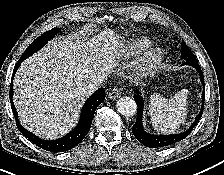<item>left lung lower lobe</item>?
I'll use <instances>...</instances> for the list:
<instances>
[{
  "instance_id": "obj_1",
  "label": "left lung lower lobe",
  "mask_w": 224,
  "mask_h": 175,
  "mask_svg": "<svg viewBox=\"0 0 224 175\" xmlns=\"http://www.w3.org/2000/svg\"><path fill=\"white\" fill-rule=\"evenodd\" d=\"M185 64L194 67L199 72L200 79H201V82L204 87V77H203V73L201 71L199 64L198 63H188V62H185L184 65ZM134 92H135L134 100L137 103L138 112H137L136 122L132 127V133L139 142H141L144 146H147L150 148L169 146V145H172L180 140L185 139L191 133L192 129L197 124V122L199 121V119L201 118V116L203 114L205 90L202 93L203 104L201 107V111L199 112V114L195 118L194 123L190 126V128L188 130H186L185 132H182L180 134H176V135H152V134L147 133L143 129L142 115H143L144 102H143V98L141 97L138 89H136Z\"/></svg>"
}]
</instances>
